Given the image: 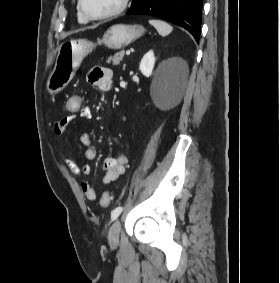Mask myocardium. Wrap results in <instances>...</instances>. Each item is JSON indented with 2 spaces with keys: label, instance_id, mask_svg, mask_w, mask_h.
Listing matches in <instances>:
<instances>
[{
  "label": "myocardium",
  "instance_id": "1",
  "mask_svg": "<svg viewBox=\"0 0 280 283\" xmlns=\"http://www.w3.org/2000/svg\"><path fill=\"white\" fill-rule=\"evenodd\" d=\"M129 2L130 0H121L119 6L116 9L110 12H107L105 14H101V15H92L88 13L84 8L83 0H78V8H79L80 13L83 15L85 19L90 20V21H98V20H105V19H109V18L120 15L127 9Z\"/></svg>",
  "mask_w": 280,
  "mask_h": 283
}]
</instances>
